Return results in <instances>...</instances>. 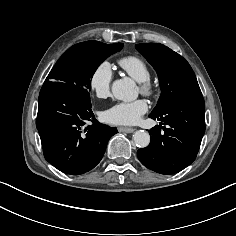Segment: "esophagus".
Listing matches in <instances>:
<instances>
[{
    "mask_svg": "<svg viewBox=\"0 0 236 236\" xmlns=\"http://www.w3.org/2000/svg\"><path fill=\"white\" fill-rule=\"evenodd\" d=\"M135 129L130 127H119V132L132 133Z\"/></svg>",
    "mask_w": 236,
    "mask_h": 236,
    "instance_id": "obj_1",
    "label": "esophagus"
}]
</instances>
